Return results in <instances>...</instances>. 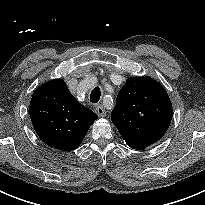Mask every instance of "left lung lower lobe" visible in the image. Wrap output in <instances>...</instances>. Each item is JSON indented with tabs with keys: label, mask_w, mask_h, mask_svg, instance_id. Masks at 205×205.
<instances>
[{
	"label": "left lung lower lobe",
	"mask_w": 205,
	"mask_h": 205,
	"mask_svg": "<svg viewBox=\"0 0 205 205\" xmlns=\"http://www.w3.org/2000/svg\"><path fill=\"white\" fill-rule=\"evenodd\" d=\"M122 138L125 140L126 144L129 145L133 149L142 150V149L147 147L141 143H138V142L131 140V139H128L126 137H122Z\"/></svg>",
	"instance_id": "0a47b994"
}]
</instances>
